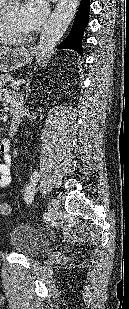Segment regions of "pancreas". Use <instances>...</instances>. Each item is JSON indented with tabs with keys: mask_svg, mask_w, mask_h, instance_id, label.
<instances>
[{
	"mask_svg": "<svg viewBox=\"0 0 129 309\" xmlns=\"http://www.w3.org/2000/svg\"><path fill=\"white\" fill-rule=\"evenodd\" d=\"M8 81V77L5 75H0V85Z\"/></svg>",
	"mask_w": 129,
	"mask_h": 309,
	"instance_id": "pancreas-1",
	"label": "pancreas"
}]
</instances>
